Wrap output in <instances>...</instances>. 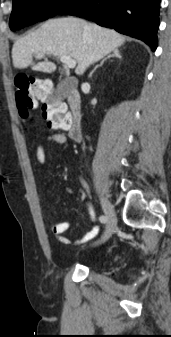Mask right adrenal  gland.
Here are the masks:
<instances>
[{"label":"right adrenal gland","instance_id":"2a0ac1e0","mask_svg":"<svg viewBox=\"0 0 171 337\" xmlns=\"http://www.w3.org/2000/svg\"><path fill=\"white\" fill-rule=\"evenodd\" d=\"M111 57H116V58L121 59V55H120L119 51H118V50H114L113 53H112L111 55H108L106 58H104V59L101 61V63H100L99 65H96V66H95V68L91 71L89 77H92L94 71H95L98 67L102 66V65L104 64V62H105L107 59H110Z\"/></svg>","mask_w":171,"mask_h":337}]
</instances>
